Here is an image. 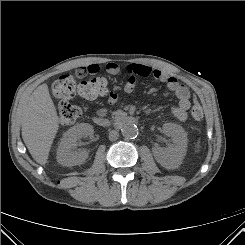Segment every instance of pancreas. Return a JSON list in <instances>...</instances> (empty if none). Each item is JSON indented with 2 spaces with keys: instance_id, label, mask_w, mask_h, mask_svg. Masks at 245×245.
I'll return each instance as SVG.
<instances>
[{
  "instance_id": "1",
  "label": "pancreas",
  "mask_w": 245,
  "mask_h": 245,
  "mask_svg": "<svg viewBox=\"0 0 245 245\" xmlns=\"http://www.w3.org/2000/svg\"><path fill=\"white\" fill-rule=\"evenodd\" d=\"M114 116H119L121 114V111H115L112 113Z\"/></svg>"
}]
</instances>
